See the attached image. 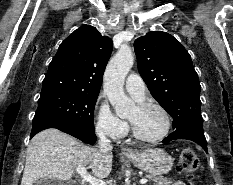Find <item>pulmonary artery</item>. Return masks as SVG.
Wrapping results in <instances>:
<instances>
[{"mask_svg":"<svg viewBox=\"0 0 233 185\" xmlns=\"http://www.w3.org/2000/svg\"><path fill=\"white\" fill-rule=\"evenodd\" d=\"M126 90L136 99L142 100L145 97L146 86L143 79L137 74H130L125 81Z\"/></svg>","mask_w":233,"mask_h":185,"instance_id":"e3ab8cb5","label":"pulmonary artery"}]
</instances>
